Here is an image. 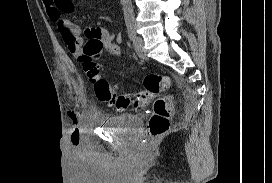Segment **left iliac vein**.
<instances>
[{
	"label": "left iliac vein",
	"instance_id": "1",
	"mask_svg": "<svg viewBox=\"0 0 272 183\" xmlns=\"http://www.w3.org/2000/svg\"><path fill=\"white\" fill-rule=\"evenodd\" d=\"M133 46L136 51V53L142 58L146 59V55L144 54V41L142 37L137 36L134 38Z\"/></svg>",
	"mask_w": 272,
	"mask_h": 183
}]
</instances>
